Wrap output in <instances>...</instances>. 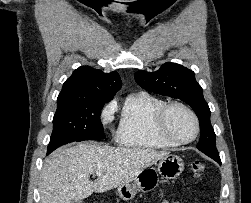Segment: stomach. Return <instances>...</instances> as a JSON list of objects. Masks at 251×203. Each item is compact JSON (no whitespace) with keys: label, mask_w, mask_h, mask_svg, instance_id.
Wrapping results in <instances>:
<instances>
[{"label":"stomach","mask_w":251,"mask_h":203,"mask_svg":"<svg viewBox=\"0 0 251 203\" xmlns=\"http://www.w3.org/2000/svg\"><path fill=\"white\" fill-rule=\"evenodd\" d=\"M184 169L183 160L177 155H167L159 160L157 167H148L141 171L133 182L118 187V196L132 200L137 192L154 190L159 184V176L167 180L177 178Z\"/></svg>","instance_id":"0dacf381"}]
</instances>
